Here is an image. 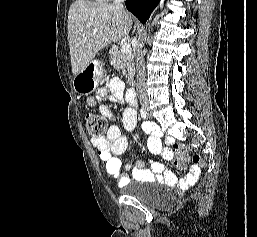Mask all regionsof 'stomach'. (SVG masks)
<instances>
[{
	"label": "stomach",
	"instance_id": "obj_1",
	"mask_svg": "<svg viewBox=\"0 0 257 237\" xmlns=\"http://www.w3.org/2000/svg\"><path fill=\"white\" fill-rule=\"evenodd\" d=\"M104 76V68L100 61H91L73 79L74 91L80 95L92 93L98 86L100 79Z\"/></svg>",
	"mask_w": 257,
	"mask_h": 237
}]
</instances>
